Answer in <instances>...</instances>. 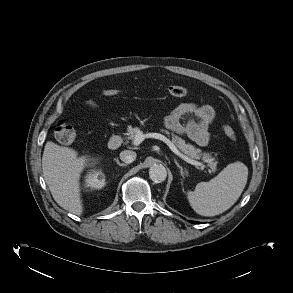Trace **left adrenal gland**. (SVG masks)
Returning <instances> with one entry per match:
<instances>
[{
	"label": "left adrenal gland",
	"instance_id": "1",
	"mask_svg": "<svg viewBox=\"0 0 293 293\" xmlns=\"http://www.w3.org/2000/svg\"><path fill=\"white\" fill-rule=\"evenodd\" d=\"M174 162L177 165V167L180 169L181 176L185 178V176H187V171L183 169V167L176 161V159H174Z\"/></svg>",
	"mask_w": 293,
	"mask_h": 293
}]
</instances>
